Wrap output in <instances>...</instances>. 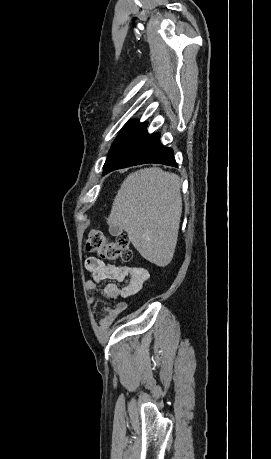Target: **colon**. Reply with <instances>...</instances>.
Returning <instances> with one entry per match:
<instances>
[{"mask_svg":"<svg viewBox=\"0 0 271 459\" xmlns=\"http://www.w3.org/2000/svg\"><path fill=\"white\" fill-rule=\"evenodd\" d=\"M86 248L96 253L100 258L109 261H129L133 255L129 239L126 235L121 234L114 240H110L99 229H92L88 232Z\"/></svg>","mask_w":271,"mask_h":459,"instance_id":"1","label":"colon"}]
</instances>
